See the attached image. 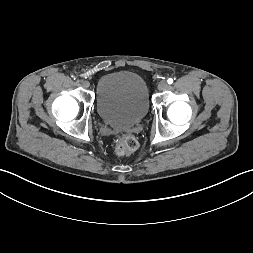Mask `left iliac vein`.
Listing matches in <instances>:
<instances>
[{
	"instance_id": "left-iliac-vein-1",
	"label": "left iliac vein",
	"mask_w": 253,
	"mask_h": 253,
	"mask_svg": "<svg viewBox=\"0 0 253 253\" xmlns=\"http://www.w3.org/2000/svg\"><path fill=\"white\" fill-rule=\"evenodd\" d=\"M167 88H168V83H167V81L162 80V81L159 82V84H158V89H159L160 91L166 90Z\"/></svg>"
}]
</instances>
